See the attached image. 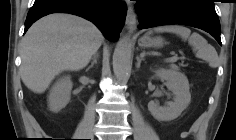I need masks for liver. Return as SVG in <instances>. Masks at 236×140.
Returning a JSON list of instances; mask_svg holds the SVG:
<instances>
[{
	"mask_svg": "<svg viewBox=\"0 0 236 140\" xmlns=\"http://www.w3.org/2000/svg\"><path fill=\"white\" fill-rule=\"evenodd\" d=\"M104 37L90 21L55 13L35 22L21 43V79L34 93H43L62 71L88 65Z\"/></svg>",
	"mask_w": 236,
	"mask_h": 140,
	"instance_id": "1",
	"label": "liver"
}]
</instances>
